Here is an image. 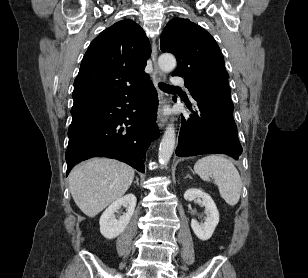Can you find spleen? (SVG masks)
Returning <instances> with one entry per match:
<instances>
[{
  "instance_id": "3e777b00",
  "label": "spleen",
  "mask_w": 308,
  "mask_h": 278,
  "mask_svg": "<svg viewBox=\"0 0 308 278\" xmlns=\"http://www.w3.org/2000/svg\"><path fill=\"white\" fill-rule=\"evenodd\" d=\"M194 171L204 181L214 180L221 197L230 206L238 203L242 190V180L234 164L224 156L208 155L199 159Z\"/></svg>"
}]
</instances>
